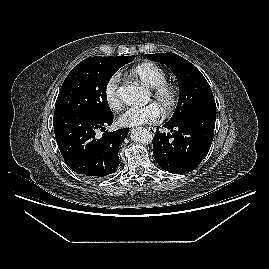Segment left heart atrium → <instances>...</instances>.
I'll list each match as a JSON object with an SVG mask.
<instances>
[{
	"instance_id": "39dd6f15",
	"label": "left heart atrium",
	"mask_w": 269,
	"mask_h": 269,
	"mask_svg": "<svg viewBox=\"0 0 269 269\" xmlns=\"http://www.w3.org/2000/svg\"><path fill=\"white\" fill-rule=\"evenodd\" d=\"M161 109L156 103L143 107H130L119 118V124L124 127L139 126L154 123L159 120Z\"/></svg>"
}]
</instances>
